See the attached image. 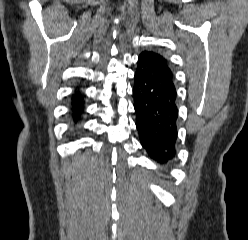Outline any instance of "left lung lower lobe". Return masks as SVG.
Here are the masks:
<instances>
[{
    "mask_svg": "<svg viewBox=\"0 0 248 240\" xmlns=\"http://www.w3.org/2000/svg\"><path fill=\"white\" fill-rule=\"evenodd\" d=\"M133 87L136 127L148 155L167 163L176 155L178 136L177 92L173 77L141 53Z\"/></svg>",
    "mask_w": 248,
    "mask_h": 240,
    "instance_id": "obj_1",
    "label": "left lung lower lobe"
}]
</instances>
